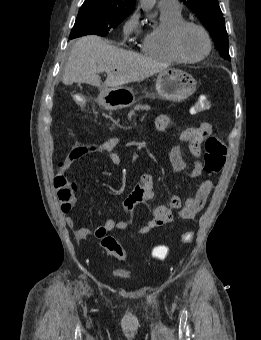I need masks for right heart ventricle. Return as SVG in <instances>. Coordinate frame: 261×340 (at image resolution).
<instances>
[{"instance_id":"1","label":"right heart ventricle","mask_w":261,"mask_h":340,"mask_svg":"<svg viewBox=\"0 0 261 340\" xmlns=\"http://www.w3.org/2000/svg\"><path fill=\"white\" fill-rule=\"evenodd\" d=\"M161 11L160 25L142 34L140 48L146 55L167 62H180L169 44L171 29L184 20L181 11Z\"/></svg>"}]
</instances>
